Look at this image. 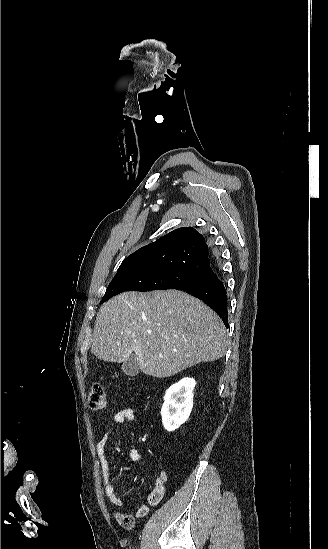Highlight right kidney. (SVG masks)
Instances as JSON below:
<instances>
[{
  "label": "right kidney",
  "instance_id": "1",
  "mask_svg": "<svg viewBox=\"0 0 328 549\" xmlns=\"http://www.w3.org/2000/svg\"><path fill=\"white\" fill-rule=\"evenodd\" d=\"M194 379H181L166 391L161 409L162 423L166 431H175L187 421L193 409Z\"/></svg>",
  "mask_w": 328,
  "mask_h": 549
}]
</instances>
